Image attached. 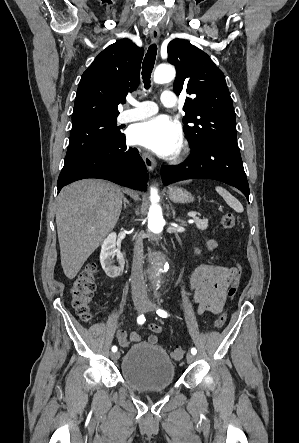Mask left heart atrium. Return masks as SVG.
<instances>
[{"instance_id": "1", "label": "left heart atrium", "mask_w": 299, "mask_h": 443, "mask_svg": "<svg viewBox=\"0 0 299 443\" xmlns=\"http://www.w3.org/2000/svg\"><path fill=\"white\" fill-rule=\"evenodd\" d=\"M133 144L151 149L162 156L177 154L182 145L180 126L166 116H157L135 125L129 134Z\"/></svg>"}]
</instances>
